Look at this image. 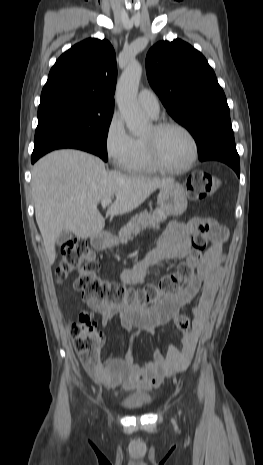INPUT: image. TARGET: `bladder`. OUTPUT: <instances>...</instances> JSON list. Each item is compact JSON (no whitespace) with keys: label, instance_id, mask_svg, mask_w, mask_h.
I'll return each mask as SVG.
<instances>
[{"label":"bladder","instance_id":"obj_1","mask_svg":"<svg viewBox=\"0 0 263 465\" xmlns=\"http://www.w3.org/2000/svg\"><path fill=\"white\" fill-rule=\"evenodd\" d=\"M153 402V397L147 392H136L126 396L121 405L128 411H139L148 407Z\"/></svg>","mask_w":263,"mask_h":465}]
</instances>
